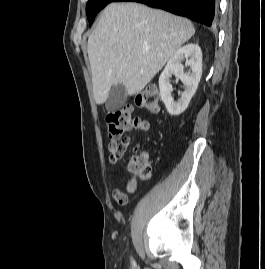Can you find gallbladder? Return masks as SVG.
Instances as JSON below:
<instances>
[{
    "label": "gallbladder",
    "instance_id": "gallbladder-1",
    "mask_svg": "<svg viewBox=\"0 0 265 269\" xmlns=\"http://www.w3.org/2000/svg\"><path fill=\"white\" fill-rule=\"evenodd\" d=\"M127 100V92L123 84L119 83L114 85L109 93L106 101V109L109 111H115L119 109Z\"/></svg>",
    "mask_w": 265,
    "mask_h": 269
}]
</instances>
